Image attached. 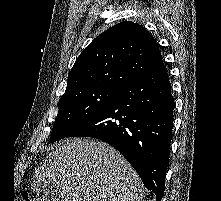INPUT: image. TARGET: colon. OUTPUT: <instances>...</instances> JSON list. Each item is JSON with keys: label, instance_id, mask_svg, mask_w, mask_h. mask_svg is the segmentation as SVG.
<instances>
[{"label": "colon", "instance_id": "colon-1", "mask_svg": "<svg viewBox=\"0 0 221 201\" xmlns=\"http://www.w3.org/2000/svg\"><path fill=\"white\" fill-rule=\"evenodd\" d=\"M19 201H35L29 194H23Z\"/></svg>", "mask_w": 221, "mask_h": 201}]
</instances>
